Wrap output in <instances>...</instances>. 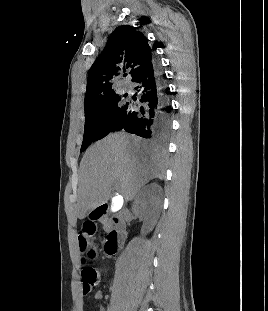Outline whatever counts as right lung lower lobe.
Returning <instances> with one entry per match:
<instances>
[{
  "label": "right lung lower lobe",
  "mask_w": 268,
  "mask_h": 311,
  "mask_svg": "<svg viewBox=\"0 0 268 311\" xmlns=\"http://www.w3.org/2000/svg\"><path fill=\"white\" fill-rule=\"evenodd\" d=\"M138 102H126L111 131L125 130L140 137L164 141L171 132V111L167 87L154 58L146 70L132 81Z\"/></svg>",
  "instance_id": "98d812e1"
}]
</instances>
